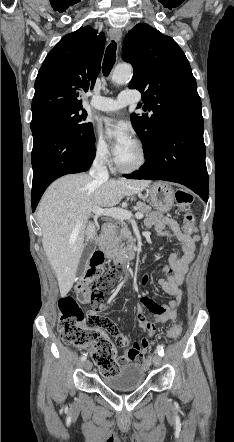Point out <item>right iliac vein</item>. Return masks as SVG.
I'll use <instances>...</instances> for the list:
<instances>
[{
  "mask_svg": "<svg viewBox=\"0 0 234 442\" xmlns=\"http://www.w3.org/2000/svg\"><path fill=\"white\" fill-rule=\"evenodd\" d=\"M83 368H84L86 371H89V370L92 368V364H91V362H90L89 360H85V361L83 362Z\"/></svg>",
  "mask_w": 234,
  "mask_h": 442,
  "instance_id": "right-iliac-vein-1",
  "label": "right iliac vein"
}]
</instances>
